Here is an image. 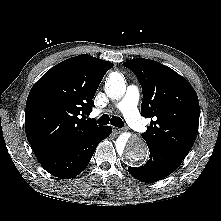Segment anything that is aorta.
Instances as JSON below:
<instances>
[{"instance_id": "1", "label": "aorta", "mask_w": 221, "mask_h": 221, "mask_svg": "<svg viewBox=\"0 0 221 221\" xmlns=\"http://www.w3.org/2000/svg\"><path fill=\"white\" fill-rule=\"evenodd\" d=\"M105 91L110 98L121 99L126 91L124 77L118 72H112L106 81ZM116 148L132 164H140L148 156V147L138 136L121 135L116 141Z\"/></svg>"}]
</instances>
